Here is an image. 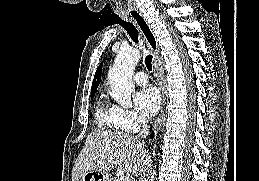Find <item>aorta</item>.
<instances>
[{"instance_id":"1","label":"aorta","mask_w":259,"mask_h":181,"mask_svg":"<svg viewBox=\"0 0 259 181\" xmlns=\"http://www.w3.org/2000/svg\"><path fill=\"white\" fill-rule=\"evenodd\" d=\"M141 58L136 48H121L113 66L108 72L111 87V97L124 108L132 107L131 95L134 91L132 75ZM156 167L151 171L149 181H154Z\"/></svg>"}]
</instances>
